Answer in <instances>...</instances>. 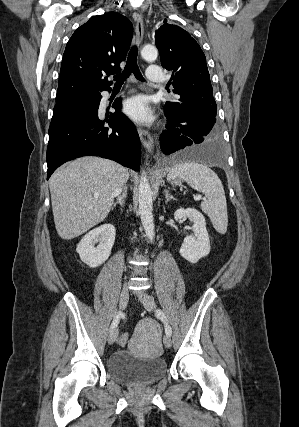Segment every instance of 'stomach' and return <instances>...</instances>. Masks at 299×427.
<instances>
[{
  "mask_svg": "<svg viewBox=\"0 0 299 427\" xmlns=\"http://www.w3.org/2000/svg\"><path fill=\"white\" fill-rule=\"evenodd\" d=\"M168 180L171 182V184H175L178 185L179 183H181V179L180 178H168Z\"/></svg>",
  "mask_w": 299,
  "mask_h": 427,
  "instance_id": "obj_1",
  "label": "stomach"
}]
</instances>
